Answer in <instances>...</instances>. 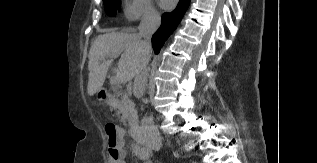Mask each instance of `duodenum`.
<instances>
[{
  "label": "duodenum",
  "mask_w": 317,
  "mask_h": 163,
  "mask_svg": "<svg viewBox=\"0 0 317 163\" xmlns=\"http://www.w3.org/2000/svg\"><path fill=\"white\" fill-rule=\"evenodd\" d=\"M102 94L105 97H109L110 96V93L106 89L102 90ZM130 132H131V136L133 137V139L136 141V143L139 146L147 148L144 134H143V132H142V130H141L139 125H136V124L132 125L131 129H130Z\"/></svg>",
  "instance_id": "duodenum-1"
}]
</instances>
